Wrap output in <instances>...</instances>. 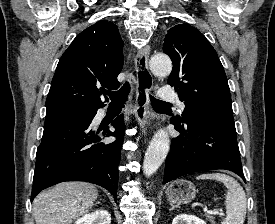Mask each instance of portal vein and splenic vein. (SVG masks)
<instances>
[{"label": "portal vein and splenic vein", "mask_w": 275, "mask_h": 224, "mask_svg": "<svg viewBox=\"0 0 275 224\" xmlns=\"http://www.w3.org/2000/svg\"><path fill=\"white\" fill-rule=\"evenodd\" d=\"M203 211H204L205 213H210V214H218V215L221 214V212L216 211V210H208L207 207H204V208H203Z\"/></svg>", "instance_id": "portal-vein-and-splenic-vein-1"}]
</instances>
